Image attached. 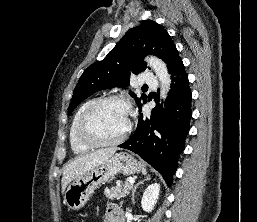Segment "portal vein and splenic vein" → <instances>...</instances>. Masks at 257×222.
Instances as JSON below:
<instances>
[{
  "mask_svg": "<svg viewBox=\"0 0 257 222\" xmlns=\"http://www.w3.org/2000/svg\"><path fill=\"white\" fill-rule=\"evenodd\" d=\"M127 181H128L129 183H131V184H133V183L135 182V180H134L133 178H131V177L128 178Z\"/></svg>",
  "mask_w": 257,
  "mask_h": 222,
  "instance_id": "18ae733b",
  "label": "portal vein and splenic vein"
}]
</instances>
